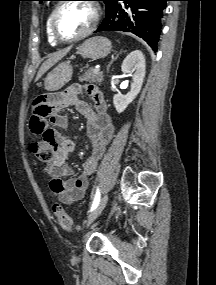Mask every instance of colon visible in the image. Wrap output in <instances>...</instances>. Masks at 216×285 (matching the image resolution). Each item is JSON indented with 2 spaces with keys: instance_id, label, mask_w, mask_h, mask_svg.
Wrapping results in <instances>:
<instances>
[{
  "instance_id": "5ec220e1",
  "label": "colon",
  "mask_w": 216,
  "mask_h": 285,
  "mask_svg": "<svg viewBox=\"0 0 216 285\" xmlns=\"http://www.w3.org/2000/svg\"><path fill=\"white\" fill-rule=\"evenodd\" d=\"M30 151L32 154L42 162H49L54 157V148L50 144H43V141H33L30 144ZM53 212L58 220L59 225L65 231H72L75 229L72 218L65 212L62 205L55 203L52 207Z\"/></svg>"
}]
</instances>
